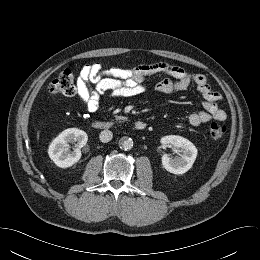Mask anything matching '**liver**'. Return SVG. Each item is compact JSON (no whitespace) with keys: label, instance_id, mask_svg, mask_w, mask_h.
<instances>
[{"label":"liver","instance_id":"obj_1","mask_svg":"<svg viewBox=\"0 0 260 260\" xmlns=\"http://www.w3.org/2000/svg\"><path fill=\"white\" fill-rule=\"evenodd\" d=\"M37 138H39V132H38V134H37Z\"/></svg>","mask_w":260,"mask_h":260}]
</instances>
